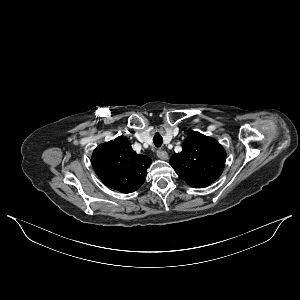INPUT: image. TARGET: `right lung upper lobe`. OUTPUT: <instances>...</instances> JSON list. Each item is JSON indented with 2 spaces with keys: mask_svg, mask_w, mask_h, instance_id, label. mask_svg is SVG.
Returning <instances> with one entry per match:
<instances>
[{
  "mask_svg": "<svg viewBox=\"0 0 300 300\" xmlns=\"http://www.w3.org/2000/svg\"><path fill=\"white\" fill-rule=\"evenodd\" d=\"M93 168L100 180L121 193L137 190L145 181L152 160L137 154L122 136L99 145L92 154Z\"/></svg>",
  "mask_w": 300,
  "mask_h": 300,
  "instance_id": "right-lung-upper-lobe-1",
  "label": "right lung upper lobe"
}]
</instances>
